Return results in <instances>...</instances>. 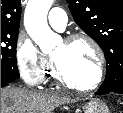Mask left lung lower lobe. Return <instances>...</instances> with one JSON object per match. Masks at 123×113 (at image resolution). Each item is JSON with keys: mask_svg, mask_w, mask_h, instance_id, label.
<instances>
[{"mask_svg": "<svg viewBox=\"0 0 123 113\" xmlns=\"http://www.w3.org/2000/svg\"><path fill=\"white\" fill-rule=\"evenodd\" d=\"M110 92L123 94V88H118V89H114V90H108V89L100 87V89L95 93V95H105V94H108Z\"/></svg>", "mask_w": 123, "mask_h": 113, "instance_id": "1", "label": "left lung lower lobe"}]
</instances>
